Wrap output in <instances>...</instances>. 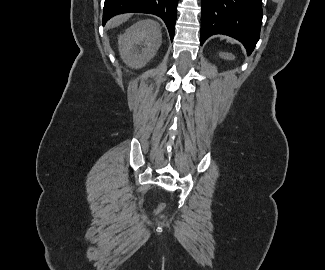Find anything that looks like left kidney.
Here are the masks:
<instances>
[{
    "mask_svg": "<svg viewBox=\"0 0 325 270\" xmlns=\"http://www.w3.org/2000/svg\"><path fill=\"white\" fill-rule=\"evenodd\" d=\"M219 56L223 59H227V60H232L234 59V56L231 53H225V52H221L219 53Z\"/></svg>",
    "mask_w": 325,
    "mask_h": 270,
    "instance_id": "obj_1",
    "label": "left kidney"
}]
</instances>
